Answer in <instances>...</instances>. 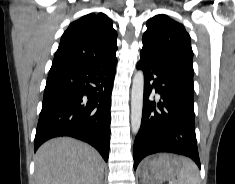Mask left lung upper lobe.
<instances>
[{"instance_id": "1", "label": "left lung upper lobe", "mask_w": 235, "mask_h": 184, "mask_svg": "<svg viewBox=\"0 0 235 184\" xmlns=\"http://www.w3.org/2000/svg\"><path fill=\"white\" fill-rule=\"evenodd\" d=\"M142 52L157 63L172 69L193 90V51L184 26L166 15H157L146 23Z\"/></svg>"}]
</instances>
